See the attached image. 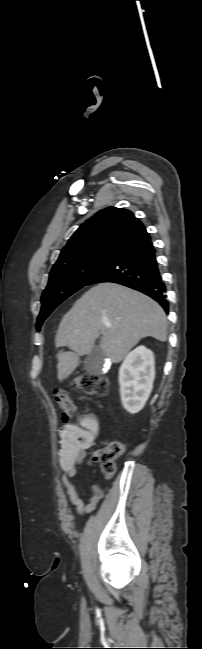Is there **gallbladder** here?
Masks as SVG:
<instances>
[{"instance_id":"1","label":"gallbladder","mask_w":202,"mask_h":649,"mask_svg":"<svg viewBox=\"0 0 202 649\" xmlns=\"http://www.w3.org/2000/svg\"><path fill=\"white\" fill-rule=\"evenodd\" d=\"M103 362L104 353L99 345H95L85 357L84 369L90 374H100L102 372Z\"/></svg>"}]
</instances>
